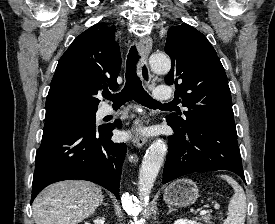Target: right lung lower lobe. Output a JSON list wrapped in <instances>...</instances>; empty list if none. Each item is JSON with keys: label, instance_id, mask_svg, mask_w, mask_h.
Wrapping results in <instances>:
<instances>
[{"label": "right lung lower lobe", "instance_id": "obj_1", "mask_svg": "<svg viewBox=\"0 0 275 224\" xmlns=\"http://www.w3.org/2000/svg\"><path fill=\"white\" fill-rule=\"evenodd\" d=\"M121 121L98 128L76 123L44 126L36 152L31 202L51 183L81 179L97 183L119 198L121 169L126 144L111 141Z\"/></svg>", "mask_w": 275, "mask_h": 224}]
</instances>
